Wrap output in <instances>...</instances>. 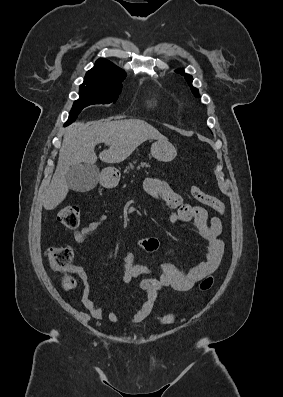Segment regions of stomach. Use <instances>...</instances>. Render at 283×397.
<instances>
[{"instance_id": "stomach-1", "label": "stomach", "mask_w": 283, "mask_h": 397, "mask_svg": "<svg viewBox=\"0 0 283 397\" xmlns=\"http://www.w3.org/2000/svg\"><path fill=\"white\" fill-rule=\"evenodd\" d=\"M151 154L158 161L170 162L176 157L177 151L172 143L164 139L151 145ZM98 180L103 187L112 188L118 181L117 172L112 167L105 168L98 175Z\"/></svg>"}]
</instances>
